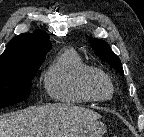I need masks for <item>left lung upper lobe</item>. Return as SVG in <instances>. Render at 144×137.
Instances as JSON below:
<instances>
[{
	"instance_id": "obj_1",
	"label": "left lung upper lobe",
	"mask_w": 144,
	"mask_h": 137,
	"mask_svg": "<svg viewBox=\"0 0 144 137\" xmlns=\"http://www.w3.org/2000/svg\"><path fill=\"white\" fill-rule=\"evenodd\" d=\"M90 43L100 59L109 63L119 74L124 75L120 59L111 51L106 42L98 39H91Z\"/></svg>"
}]
</instances>
